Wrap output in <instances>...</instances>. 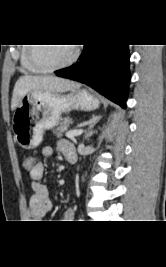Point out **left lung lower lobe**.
<instances>
[{
	"instance_id": "0a47b994",
	"label": "left lung lower lobe",
	"mask_w": 166,
	"mask_h": 267,
	"mask_svg": "<svg viewBox=\"0 0 166 267\" xmlns=\"http://www.w3.org/2000/svg\"><path fill=\"white\" fill-rule=\"evenodd\" d=\"M81 61L55 71L57 76L84 83L126 108L129 73L128 45H85Z\"/></svg>"
}]
</instances>
